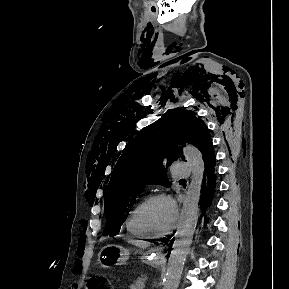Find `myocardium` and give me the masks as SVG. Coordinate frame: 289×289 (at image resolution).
Here are the masks:
<instances>
[{"mask_svg": "<svg viewBox=\"0 0 289 289\" xmlns=\"http://www.w3.org/2000/svg\"><path fill=\"white\" fill-rule=\"evenodd\" d=\"M156 200H167L168 202L171 203L173 207V211H174V218H173L171 225L166 230L161 231V232H157V231H153L149 229L145 225L144 219H143V215L147 207ZM178 218H179V214H178L177 205L175 201L173 200V198L166 193H155L145 198L142 204L140 205L137 211V216H136L138 226L149 237H163V236L170 234L176 228Z\"/></svg>", "mask_w": 289, "mask_h": 289, "instance_id": "obj_1", "label": "myocardium"}]
</instances>
